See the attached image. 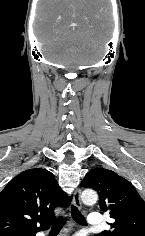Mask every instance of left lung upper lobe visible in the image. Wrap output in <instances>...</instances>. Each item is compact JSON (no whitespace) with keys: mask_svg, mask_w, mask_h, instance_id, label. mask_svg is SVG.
<instances>
[{"mask_svg":"<svg viewBox=\"0 0 145 236\" xmlns=\"http://www.w3.org/2000/svg\"><path fill=\"white\" fill-rule=\"evenodd\" d=\"M83 187L99 193V204L115 221L112 231L97 236H145V202L134 186L115 172L94 168L83 179Z\"/></svg>","mask_w":145,"mask_h":236,"instance_id":"5c2ea615","label":"left lung upper lobe"}]
</instances>
